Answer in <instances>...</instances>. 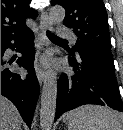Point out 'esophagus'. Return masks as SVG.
<instances>
[{
  "instance_id": "esophagus-1",
  "label": "esophagus",
  "mask_w": 123,
  "mask_h": 130,
  "mask_svg": "<svg viewBox=\"0 0 123 130\" xmlns=\"http://www.w3.org/2000/svg\"><path fill=\"white\" fill-rule=\"evenodd\" d=\"M52 28V23L47 15L46 12H43L40 19V25H39V40H40V46L37 53L36 61H35V71L37 75V79L40 84L43 83L44 77H45V69L43 66L39 64L40 60V50L43 46L48 44L47 37H46V31L50 30Z\"/></svg>"
}]
</instances>
